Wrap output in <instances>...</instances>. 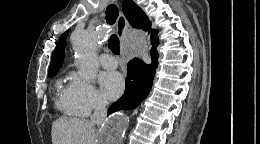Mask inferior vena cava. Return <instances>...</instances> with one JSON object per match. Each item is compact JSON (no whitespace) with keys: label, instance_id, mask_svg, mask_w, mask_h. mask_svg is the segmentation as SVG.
Here are the masks:
<instances>
[{"label":"inferior vena cava","instance_id":"inferior-vena-cava-1","mask_svg":"<svg viewBox=\"0 0 260 144\" xmlns=\"http://www.w3.org/2000/svg\"><path fill=\"white\" fill-rule=\"evenodd\" d=\"M107 115L106 102L103 100H98L95 106L93 115L90 117L91 125H101Z\"/></svg>","mask_w":260,"mask_h":144}]
</instances>
